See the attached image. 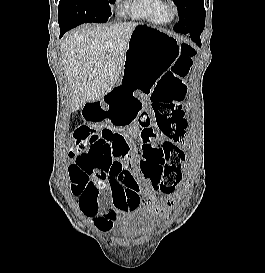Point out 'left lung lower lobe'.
<instances>
[{
    "label": "left lung lower lobe",
    "instance_id": "obj_1",
    "mask_svg": "<svg viewBox=\"0 0 265 273\" xmlns=\"http://www.w3.org/2000/svg\"><path fill=\"white\" fill-rule=\"evenodd\" d=\"M202 4L204 0L200 1ZM200 9L194 10L187 15H183L179 22L174 26V31L187 34L191 39L201 46L200 35L204 29L205 21Z\"/></svg>",
    "mask_w": 265,
    "mask_h": 273
}]
</instances>
